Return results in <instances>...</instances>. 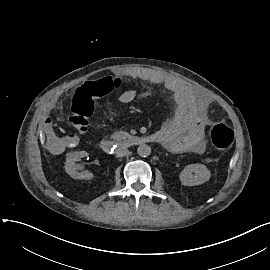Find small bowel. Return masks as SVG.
<instances>
[{"label":"small bowel","mask_w":270,"mask_h":270,"mask_svg":"<svg viewBox=\"0 0 270 270\" xmlns=\"http://www.w3.org/2000/svg\"><path fill=\"white\" fill-rule=\"evenodd\" d=\"M127 74L165 88L179 103L190 104L192 112L188 119L175 118L165 122L160 126L156 135L164 148L172 153H201L205 148V130L210 123L207 115L210 101L176 78L157 70L139 68L129 70ZM134 98L135 92L127 89L122 92L119 100L123 104H129ZM44 126L51 130L55 123L48 119ZM44 139L50 143L51 151L56 154L61 153L65 148H73L77 144V140L71 135L57 138L52 132L46 133Z\"/></svg>","instance_id":"1"}]
</instances>
